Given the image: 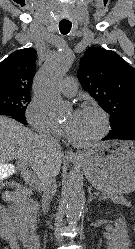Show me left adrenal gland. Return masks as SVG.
<instances>
[{"label": "left adrenal gland", "instance_id": "1", "mask_svg": "<svg viewBox=\"0 0 135 249\" xmlns=\"http://www.w3.org/2000/svg\"><path fill=\"white\" fill-rule=\"evenodd\" d=\"M93 199H96V197L93 196L92 193H90V196H89V198H88V203H90ZM98 200H101V198H98Z\"/></svg>", "mask_w": 135, "mask_h": 249}]
</instances>
